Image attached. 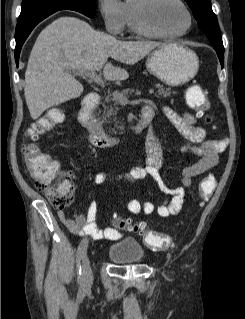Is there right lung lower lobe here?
<instances>
[{
	"label": "right lung lower lobe",
	"instance_id": "obj_1",
	"mask_svg": "<svg viewBox=\"0 0 245 319\" xmlns=\"http://www.w3.org/2000/svg\"><path fill=\"white\" fill-rule=\"evenodd\" d=\"M54 12H56V11H54ZM54 12L42 14V15L33 17L25 22L17 23L16 32H15V40H16L15 60H16L17 66H18V62H19V55H20L22 45L25 42V40L27 39V37L29 36V34L31 33V31L33 30V28L40 21H42L43 19H45L46 17H48L49 15H51Z\"/></svg>",
	"mask_w": 245,
	"mask_h": 319
}]
</instances>
